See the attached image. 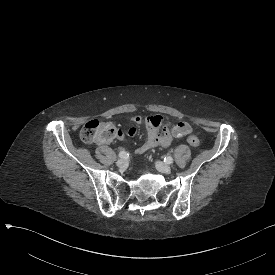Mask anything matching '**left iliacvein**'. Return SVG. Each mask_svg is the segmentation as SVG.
Wrapping results in <instances>:
<instances>
[{"label": "left iliac vein", "mask_w": 275, "mask_h": 275, "mask_svg": "<svg viewBox=\"0 0 275 275\" xmlns=\"http://www.w3.org/2000/svg\"><path fill=\"white\" fill-rule=\"evenodd\" d=\"M156 168L161 173L169 174L171 172V167L168 164L161 161L156 162Z\"/></svg>", "instance_id": "1"}]
</instances>
